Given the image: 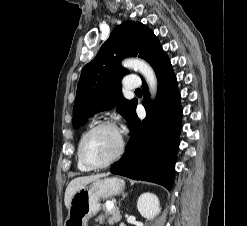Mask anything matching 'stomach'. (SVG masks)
I'll list each match as a JSON object with an SVG mask.
<instances>
[{"mask_svg": "<svg viewBox=\"0 0 247 226\" xmlns=\"http://www.w3.org/2000/svg\"><path fill=\"white\" fill-rule=\"evenodd\" d=\"M124 188L125 182L118 177L99 178L84 185L71 198L64 226H87V221L100 210V200L119 195Z\"/></svg>", "mask_w": 247, "mask_h": 226, "instance_id": "obj_1", "label": "stomach"}]
</instances>
